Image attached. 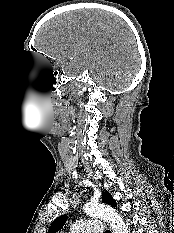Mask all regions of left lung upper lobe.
<instances>
[{
  "mask_svg": "<svg viewBox=\"0 0 174 233\" xmlns=\"http://www.w3.org/2000/svg\"><path fill=\"white\" fill-rule=\"evenodd\" d=\"M102 202L116 207V201L112 198L108 191L102 192ZM67 221V215L60 216L56 218L49 227L48 233H57L65 225Z\"/></svg>",
  "mask_w": 174,
  "mask_h": 233,
  "instance_id": "obj_1",
  "label": "left lung upper lobe"
}]
</instances>
